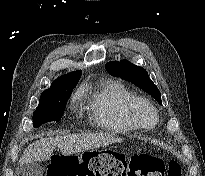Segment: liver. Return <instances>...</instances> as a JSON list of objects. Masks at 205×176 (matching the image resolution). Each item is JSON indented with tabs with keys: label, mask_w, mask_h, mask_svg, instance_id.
<instances>
[{
	"label": "liver",
	"mask_w": 205,
	"mask_h": 176,
	"mask_svg": "<svg viewBox=\"0 0 205 176\" xmlns=\"http://www.w3.org/2000/svg\"><path fill=\"white\" fill-rule=\"evenodd\" d=\"M120 141L121 139L103 133L41 138L25 149L19 160V165L49 160L55 147H59L64 155H71Z\"/></svg>",
	"instance_id": "6515ba94"
}]
</instances>
